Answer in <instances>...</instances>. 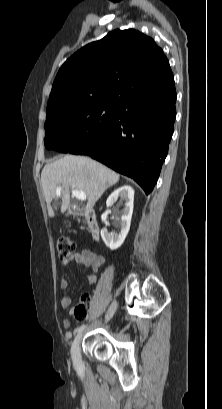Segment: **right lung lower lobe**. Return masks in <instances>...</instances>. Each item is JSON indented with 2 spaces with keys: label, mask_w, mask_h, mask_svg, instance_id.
Masks as SVG:
<instances>
[{
  "label": "right lung lower lobe",
  "mask_w": 222,
  "mask_h": 409,
  "mask_svg": "<svg viewBox=\"0 0 222 409\" xmlns=\"http://www.w3.org/2000/svg\"><path fill=\"white\" fill-rule=\"evenodd\" d=\"M163 79L166 91L119 103L103 145L85 154L131 177L146 194L159 177L176 117L173 74Z\"/></svg>",
  "instance_id": "right-lung-lower-lobe-1"
}]
</instances>
